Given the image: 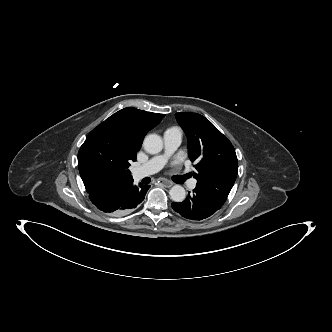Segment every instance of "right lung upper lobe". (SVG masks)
Listing matches in <instances>:
<instances>
[{"label":"right lung upper lobe","mask_w":332,"mask_h":332,"mask_svg":"<svg viewBox=\"0 0 332 332\" xmlns=\"http://www.w3.org/2000/svg\"><path fill=\"white\" fill-rule=\"evenodd\" d=\"M164 116V114L146 112L143 110H138L136 108H124L110 116V118H119L124 121L130 133L132 149L137 155V152L141 148V144L146 133L153 129L162 120ZM131 179L132 176L131 178L123 180L121 182L110 184L82 178L86 191L88 193L94 191L99 187L117 185Z\"/></svg>","instance_id":"right-lung-upper-lobe-1"}]
</instances>
